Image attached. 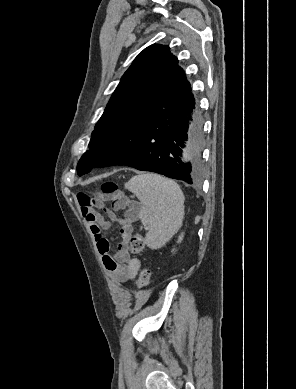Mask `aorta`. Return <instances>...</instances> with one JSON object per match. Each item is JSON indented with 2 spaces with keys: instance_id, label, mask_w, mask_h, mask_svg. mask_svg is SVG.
Segmentation results:
<instances>
[{
  "instance_id": "obj_1",
  "label": "aorta",
  "mask_w": 296,
  "mask_h": 389,
  "mask_svg": "<svg viewBox=\"0 0 296 389\" xmlns=\"http://www.w3.org/2000/svg\"><path fill=\"white\" fill-rule=\"evenodd\" d=\"M186 153H187V147H186V149L183 152V159L184 160H188L189 159L190 161H195L198 158V153L195 150H190L187 153V157H186Z\"/></svg>"
}]
</instances>
